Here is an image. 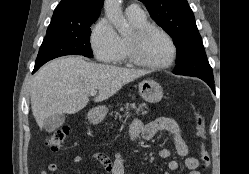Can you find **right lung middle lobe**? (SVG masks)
Returning <instances> with one entry per match:
<instances>
[{
	"instance_id": "1",
	"label": "right lung middle lobe",
	"mask_w": 249,
	"mask_h": 174,
	"mask_svg": "<svg viewBox=\"0 0 249 174\" xmlns=\"http://www.w3.org/2000/svg\"><path fill=\"white\" fill-rule=\"evenodd\" d=\"M96 20L70 28L47 31L36 59V66L64 55L93 57L90 47V26Z\"/></svg>"
}]
</instances>
